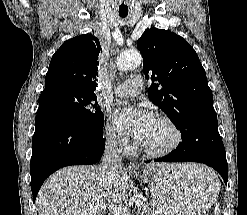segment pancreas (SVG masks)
I'll use <instances>...</instances> for the list:
<instances>
[{
    "mask_svg": "<svg viewBox=\"0 0 247 215\" xmlns=\"http://www.w3.org/2000/svg\"><path fill=\"white\" fill-rule=\"evenodd\" d=\"M141 215H162L157 209L150 207L148 204H144L139 207Z\"/></svg>",
    "mask_w": 247,
    "mask_h": 215,
    "instance_id": "obj_1",
    "label": "pancreas"
}]
</instances>
